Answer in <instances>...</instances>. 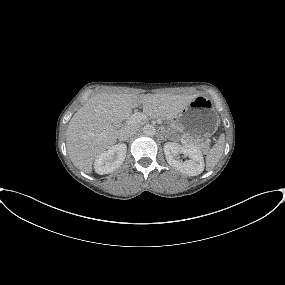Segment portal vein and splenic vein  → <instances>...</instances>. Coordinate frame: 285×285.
<instances>
[{
	"mask_svg": "<svg viewBox=\"0 0 285 285\" xmlns=\"http://www.w3.org/2000/svg\"><path fill=\"white\" fill-rule=\"evenodd\" d=\"M145 118H146V116L144 114L135 113L128 118L127 123L128 124L138 123L141 120H144Z\"/></svg>",
	"mask_w": 285,
	"mask_h": 285,
	"instance_id": "1",
	"label": "portal vein and splenic vein"
}]
</instances>
